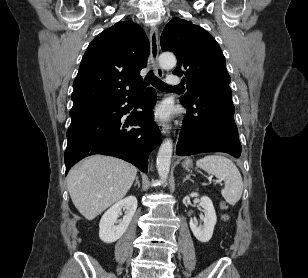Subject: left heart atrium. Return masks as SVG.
I'll return each instance as SVG.
<instances>
[{"mask_svg":"<svg viewBox=\"0 0 308 278\" xmlns=\"http://www.w3.org/2000/svg\"><path fill=\"white\" fill-rule=\"evenodd\" d=\"M156 117L161 119V120H165L169 117L170 115V109L166 104L160 105L157 109H156Z\"/></svg>","mask_w":308,"mask_h":278,"instance_id":"1","label":"left heart atrium"}]
</instances>
